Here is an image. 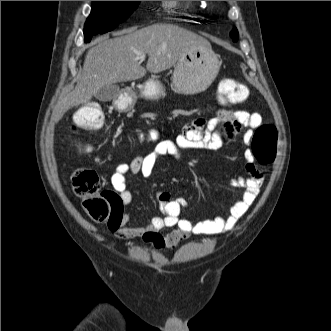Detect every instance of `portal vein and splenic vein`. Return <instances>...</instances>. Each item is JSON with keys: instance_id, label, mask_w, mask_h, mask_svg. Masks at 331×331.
Instances as JSON below:
<instances>
[{"instance_id": "obj_1", "label": "portal vein and splenic vein", "mask_w": 331, "mask_h": 331, "mask_svg": "<svg viewBox=\"0 0 331 331\" xmlns=\"http://www.w3.org/2000/svg\"><path fill=\"white\" fill-rule=\"evenodd\" d=\"M145 57H146V55H145V54H142V55L140 56V59L143 60V59H145Z\"/></svg>"}]
</instances>
